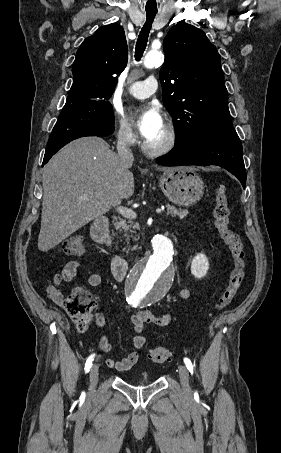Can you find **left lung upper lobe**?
<instances>
[{"label": "left lung upper lobe", "instance_id": "5c2ea615", "mask_svg": "<svg viewBox=\"0 0 281 453\" xmlns=\"http://www.w3.org/2000/svg\"><path fill=\"white\" fill-rule=\"evenodd\" d=\"M163 49L159 77L163 102L175 125L176 145L233 128L220 55L205 33L178 23L167 33Z\"/></svg>", "mask_w": 281, "mask_h": 453}]
</instances>
